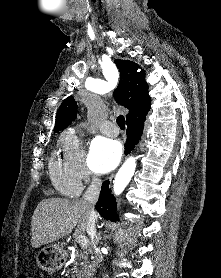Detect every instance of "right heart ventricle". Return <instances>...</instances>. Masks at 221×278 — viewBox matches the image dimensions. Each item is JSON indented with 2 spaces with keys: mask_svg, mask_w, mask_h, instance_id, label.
Wrapping results in <instances>:
<instances>
[{
  "mask_svg": "<svg viewBox=\"0 0 221 278\" xmlns=\"http://www.w3.org/2000/svg\"><path fill=\"white\" fill-rule=\"evenodd\" d=\"M54 186L63 194L76 195L81 191V184L73 175L64 159L53 156L49 165Z\"/></svg>",
  "mask_w": 221,
  "mask_h": 278,
  "instance_id": "1",
  "label": "right heart ventricle"
}]
</instances>
